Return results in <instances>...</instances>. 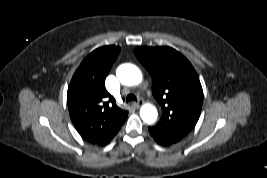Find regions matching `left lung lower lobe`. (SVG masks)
<instances>
[{
  "mask_svg": "<svg viewBox=\"0 0 267 178\" xmlns=\"http://www.w3.org/2000/svg\"><path fill=\"white\" fill-rule=\"evenodd\" d=\"M151 136L156 141V143L162 145V146H169L176 142L172 141L171 139L165 137L158 129L155 127H149L148 128Z\"/></svg>",
  "mask_w": 267,
  "mask_h": 178,
  "instance_id": "0a47b994",
  "label": "left lung lower lobe"
}]
</instances>
